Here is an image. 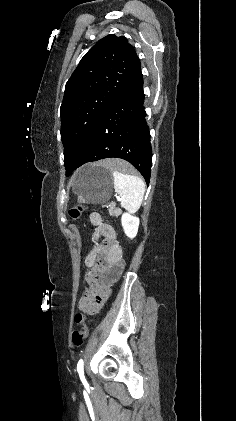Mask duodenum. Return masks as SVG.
Returning a JSON list of instances; mask_svg holds the SVG:
<instances>
[{
  "label": "duodenum",
  "mask_w": 236,
  "mask_h": 421,
  "mask_svg": "<svg viewBox=\"0 0 236 421\" xmlns=\"http://www.w3.org/2000/svg\"><path fill=\"white\" fill-rule=\"evenodd\" d=\"M92 262H96L95 270L99 276V282L92 296L86 298L85 303L92 305L93 310H97L107 300L110 287L122 272L121 251L113 244L105 243L96 249Z\"/></svg>",
  "instance_id": "1"
}]
</instances>
